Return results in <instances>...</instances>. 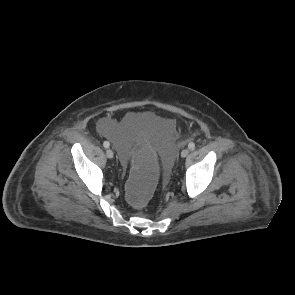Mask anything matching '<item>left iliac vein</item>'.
Masks as SVG:
<instances>
[{
	"mask_svg": "<svg viewBox=\"0 0 295 295\" xmlns=\"http://www.w3.org/2000/svg\"><path fill=\"white\" fill-rule=\"evenodd\" d=\"M188 154H189V149H187V148H186V149H183L182 152H181V157L184 158V157H186Z\"/></svg>",
	"mask_w": 295,
	"mask_h": 295,
	"instance_id": "obj_1",
	"label": "left iliac vein"
}]
</instances>
